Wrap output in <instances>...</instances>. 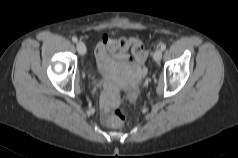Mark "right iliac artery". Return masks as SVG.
<instances>
[{
    "label": "right iliac artery",
    "instance_id": "82829eb1",
    "mask_svg": "<svg viewBox=\"0 0 238 158\" xmlns=\"http://www.w3.org/2000/svg\"><path fill=\"white\" fill-rule=\"evenodd\" d=\"M72 41H73L74 43H76V42L78 41V39H77L76 37H72Z\"/></svg>",
    "mask_w": 238,
    "mask_h": 158
}]
</instances>
